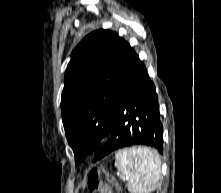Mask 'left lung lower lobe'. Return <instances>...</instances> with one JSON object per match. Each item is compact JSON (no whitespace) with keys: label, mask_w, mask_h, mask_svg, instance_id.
<instances>
[{"label":"left lung lower lobe","mask_w":221,"mask_h":193,"mask_svg":"<svg viewBox=\"0 0 221 193\" xmlns=\"http://www.w3.org/2000/svg\"><path fill=\"white\" fill-rule=\"evenodd\" d=\"M112 138L94 157V162L118 149L147 145L163 153V126L158 95L138 55L132 60L119 88Z\"/></svg>","instance_id":"1"}]
</instances>
